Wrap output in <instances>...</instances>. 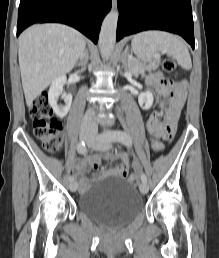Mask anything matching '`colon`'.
I'll use <instances>...</instances> for the list:
<instances>
[{
  "instance_id": "5ec220e1",
  "label": "colon",
  "mask_w": 219,
  "mask_h": 258,
  "mask_svg": "<svg viewBox=\"0 0 219 258\" xmlns=\"http://www.w3.org/2000/svg\"><path fill=\"white\" fill-rule=\"evenodd\" d=\"M162 68L165 72L175 73L177 70L176 62L171 58H166L162 62ZM29 116L33 122L34 134L41 141L43 148L51 153L59 150L63 135L62 124L54 115L46 95L38 96L29 108ZM152 149L155 153H162L164 144L160 137L155 136L152 140ZM129 182L136 184L138 176L132 174Z\"/></svg>"
}]
</instances>
